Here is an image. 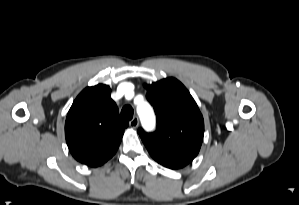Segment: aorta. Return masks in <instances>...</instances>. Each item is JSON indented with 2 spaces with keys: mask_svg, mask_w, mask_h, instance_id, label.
Masks as SVG:
<instances>
[{
  "mask_svg": "<svg viewBox=\"0 0 299 205\" xmlns=\"http://www.w3.org/2000/svg\"><path fill=\"white\" fill-rule=\"evenodd\" d=\"M138 114L146 129H152L155 125V116L151 107L147 103L141 104L137 108Z\"/></svg>",
  "mask_w": 299,
  "mask_h": 205,
  "instance_id": "aorta-1",
  "label": "aorta"
}]
</instances>
